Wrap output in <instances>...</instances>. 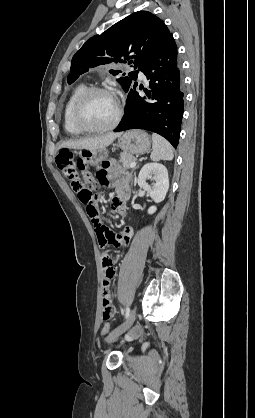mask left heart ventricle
<instances>
[{
	"instance_id": "obj_1",
	"label": "left heart ventricle",
	"mask_w": 255,
	"mask_h": 418,
	"mask_svg": "<svg viewBox=\"0 0 255 418\" xmlns=\"http://www.w3.org/2000/svg\"><path fill=\"white\" fill-rule=\"evenodd\" d=\"M115 113V100L106 94L95 93L84 103L82 120L89 126L103 127L111 123Z\"/></svg>"
}]
</instances>
